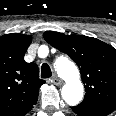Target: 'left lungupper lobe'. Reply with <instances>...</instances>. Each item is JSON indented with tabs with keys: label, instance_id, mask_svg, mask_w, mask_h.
<instances>
[{
	"label": "left lung upper lobe",
	"instance_id": "obj_1",
	"mask_svg": "<svg viewBox=\"0 0 116 116\" xmlns=\"http://www.w3.org/2000/svg\"><path fill=\"white\" fill-rule=\"evenodd\" d=\"M44 39L78 65L86 90L79 105L116 109V49L83 35L46 31Z\"/></svg>",
	"mask_w": 116,
	"mask_h": 116
}]
</instances>
